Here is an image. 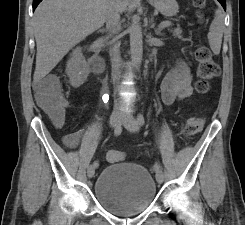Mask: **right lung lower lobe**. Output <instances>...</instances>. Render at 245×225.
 I'll use <instances>...</instances> for the list:
<instances>
[{"label": "right lung lower lobe", "instance_id": "1", "mask_svg": "<svg viewBox=\"0 0 245 225\" xmlns=\"http://www.w3.org/2000/svg\"><path fill=\"white\" fill-rule=\"evenodd\" d=\"M42 0H33V11Z\"/></svg>", "mask_w": 245, "mask_h": 225}]
</instances>
